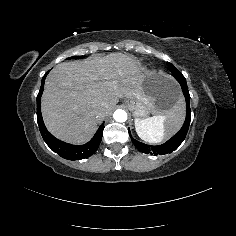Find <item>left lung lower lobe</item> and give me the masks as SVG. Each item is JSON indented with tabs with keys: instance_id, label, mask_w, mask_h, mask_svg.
I'll use <instances>...</instances> for the list:
<instances>
[{
	"instance_id": "left-lung-lower-lobe-1",
	"label": "left lung lower lobe",
	"mask_w": 236,
	"mask_h": 236,
	"mask_svg": "<svg viewBox=\"0 0 236 236\" xmlns=\"http://www.w3.org/2000/svg\"><path fill=\"white\" fill-rule=\"evenodd\" d=\"M167 65H168L169 71L172 73V76L180 83L183 94L186 99L187 112H186V119L182 128L166 143L162 145H158V146H149L147 144H144L135 140L131 136L130 130L128 129L129 135L135 147L142 153L155 155V156L171 153L176 148H178L186 137V134L189 129L190 120H191L190 94L188 91L187 82L185 78L183 77L182 73L178 69H176L171 63H167Z\"/></svg>"
}]
</instances>
